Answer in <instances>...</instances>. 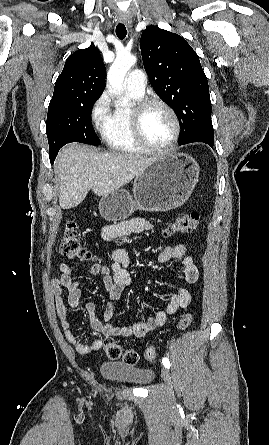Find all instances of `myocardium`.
Wrapping results in <instances>:
<instances>
[{"label": "myocardium", "instance_id": "obj_1", "mask_svg": "<svg viewBox=\"0 0 269 445\" xmlns=\"http://www.w3.org/2000/svg\"><path fill=\"white\" fill-rule=\"evenodd\" d=\"M153 106H159L165 109L172 118L174 132L171 139L162 147H153L145 139L142 130V121L145 113ZM131 127L136 143L145 151L152 154H164L170 151L177 143L181 124L175 110L165 101L158 98H144L138 100L131 109Z\"/></svg>", "mask_w": 269, "mask_h": 445}]
</instances>
